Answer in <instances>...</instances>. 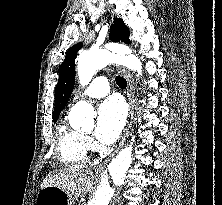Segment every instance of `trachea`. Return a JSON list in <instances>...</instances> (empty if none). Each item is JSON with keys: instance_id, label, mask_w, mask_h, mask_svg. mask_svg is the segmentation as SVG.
<instances>
[{"instance_id": "obj_1", "label": "trachea", "mask_w": 222, "mask_h": 205, "mask_svg": "<svg viewBox=\"0 0 222 205\" xmlns=\"http://www.w3.org/2000/svg\"><path fill=\"white\" fill-rule=\"evenodd\" d=\"M115 81L120 88H122V89L126 88L127 81L123 77L116 76Z\"/></svg>"}]
</instances>
